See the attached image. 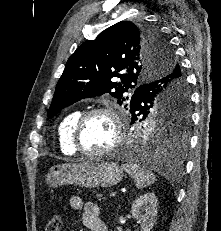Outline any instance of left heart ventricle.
I'll use <instances>...</instances> for the list:
<instances>
[{
  "label": "left heart ventricle",
  "instance_id": "1",
  "mask_svg": "<svg viewBox=\"0 0 221 231\" xmlns=\"http://www.w3.org/2000/svg\"><path fill=\"white\" fill-rule=\"evenodd\" d=\"M114 140V128L110 118L96 114L88 118L82 127L80 143L87 151H100L109 147Z\"/></svg>",
  "mask_w": 221,
  "mask_h": 231
}]
</instances>
